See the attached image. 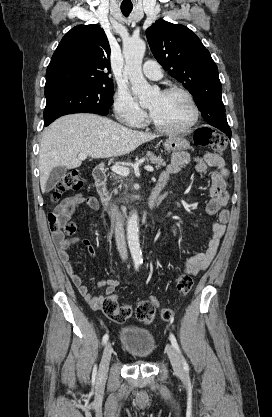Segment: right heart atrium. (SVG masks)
Returning a JSON list of instances; mask_svg holds the SVG:
<instances>
[{
    "instance_id": "right-heart-atrium-1",
    "label": "right heart atrium",
    "mask_w": 272,
    "mask_h": 417,
    "mask_svg": "<svg viewBox=\"0 0 272 417\" xmlns=\"http://www.w3.org/2000/svg\"><path fill=\"white\" fill-rule=\"evenodd\" d=\"M113 108L116 117L124 124L138 126L143 123L146 114L138 105L129 90L119 88L113 101Z\"/></svg>"
}]
</instances>
